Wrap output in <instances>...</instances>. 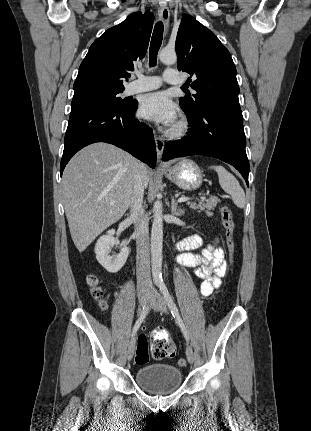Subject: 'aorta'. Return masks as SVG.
I'll return each instance as SVG.
<instances>
[{
  "label": "aorta",
  "mask_w": 311,
  "mask_h": 431,
  "mask_svg": "<svg viewBox=\"0 0 311 431\" xmlns=\"http://www.w3.org/2000/svg\"><path fill=\"white\" fill-rule=\"evenodd\" d=\"M158 58L162 64H167V66H173V64L177 62L175 50H161L158 54ZM153 212L154 217L151 229L152 275L153 281L159 283V281H162L161 269L163 259V206L160 200L154 202Z\"/></svg>",
  "instance_id": "aorta-1"
}]
</instances>
